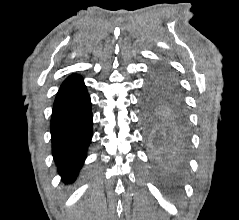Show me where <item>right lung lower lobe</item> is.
I'll list each match as a JSON object with an SVG mask.
<instances>
[{
  "mask_svg": "<svg viewBox=\"0 0 239 220\" xmlns=\"http://www.w3.org/2000/svg\"><path fill=\"white\" fill-rule=\"evenodd\" d=\"M91 100L81 76H69L55 98L51 119L52 154L66 181L78 176L92 138Z\"/></svg>",
  "mask_w": 239,
  "mask_h": 220,
  "instance_id": "98d812e1",
  "label": "right lung lower lobe"
}]
</instances>
